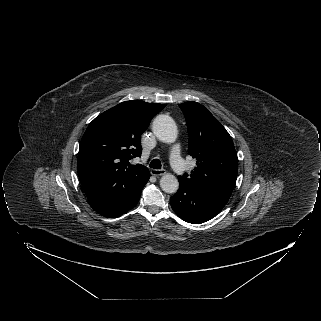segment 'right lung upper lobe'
Returning a JSON list of instances; mask_svg holds the SVG:
<instances>
[{
    "instance_id": "1",
    "label": "right lung upper lobe",
    "mask_w": 321,
    "mask_h": 321,
    "mask_svg": "<svg viewBox=\"0 0 321 321\" xmlns=\"http://www.w3.org/2000/svg\"><path fill=\"white\" fill-rule=\"evenodd\" d=\"M165 105L140 100L122 102L97 116L87 127L78 153V172L87 197L105 192L130 191L150 172L130 165L141 156V134Z\"/></svg>"
}]
</instances>
